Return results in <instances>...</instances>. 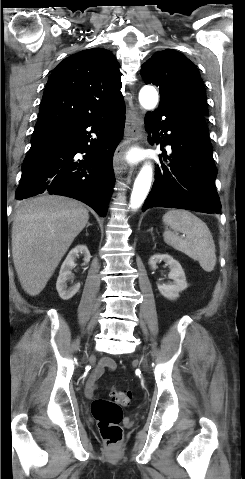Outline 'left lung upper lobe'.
<instances>
[{"label":"left lung upper lobe","instance_id":"5c2ea615","mask_svg":"<svg viewBox=\"0 0 245 479\" xmlns=\"http://www.w3.org/2000/svg\"><path fill=\"white\" fill-rule=\"evenodd\" d=\"M146 84L159 87L160 105L170 112H194L206 116L203 81L195 65L184 55L166 49L156 52L141 70Z\"/></svg>","mask_w":245,"mask_h":479}]
</instances>
